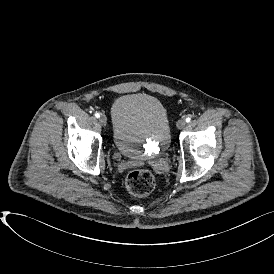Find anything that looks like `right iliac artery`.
I'll return each instance as SVG.
<instances>
[{
    "mask_svg": "<svg viewBox=\"0 0 274 274\" xmlns=\"http://www.w3.org/2000/svg\"><path fill=\"white\" fill-rule=\"evenodd\" d=\"M95 117L96 118H99L100 117V114L98 112L95 113Z\"/></svg>",
    "mask_w": 274,
    "mask_h": 274,
    "instance_id": "1",
    "label": "right iliac artery"
}]
</instances>
